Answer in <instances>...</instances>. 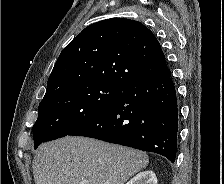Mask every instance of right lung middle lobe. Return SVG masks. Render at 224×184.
<instances>
[{
    "mask_svg": "<svg viewBox=\"0 0 224 184\" xmlns=\"http://www.w3.org/2000/svg\"><path fill=\"white\" fill-rule=\"evenodd\" d=\"M126 86L112 82H84L70 86L39 104L33 125L34 148L69 135L104 111Z\"/></svg>",
    "mask_w": 224,
    "mask_h": 184,
    "instance_id": "dd1d6c3e",
    "label": "right lung middle lobe"
}]
</instances>
